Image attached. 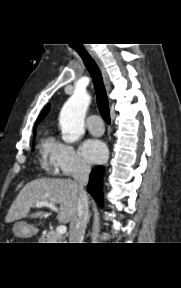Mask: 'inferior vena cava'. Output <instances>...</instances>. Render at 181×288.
Segmentation results:
<instances>
[{
    "label": "inferior vena cava",
    "instance_id": "602c4592",
    "mask_svg": "<svg viewBox=\"0 0 181 288\" xmlns=\"http://www.w3.org/2000/svg\"><path fill=\"white\" fill-rule=\"evenodd\" d=\"M91 167L86 163H80L74 174V182L78 190V202L76 216L70 222L69 243H82L85 228L88 221V196L85 186L88 184Z\"/></svg>",
    "mask_w": 181,
    "mask_h": 288
}]
</instances>
